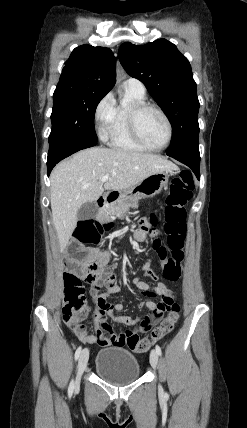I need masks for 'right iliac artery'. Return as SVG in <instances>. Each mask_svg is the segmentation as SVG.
Masks as SVG:
<instances>
[{"label": "right iliac artery", "mask_w": 247, "mask_h": 428, "mask_svg": "<svg viewBox=\"0 0 247 428\" xmlns=\"http://www.w3.org/2000/svg\"><path fill=\"white\" fill-rule=\"evenodd\" d=\"M81 350H82L81 346L78 347V349L76 350V352H75V360H77L79 358V356L81 354ZM73 390H74V381L72 380L70 382V385H69V388H68V394H69V396L72 395Z\"/></svg>", "instance_id": "obj_1"}]
</instances>
